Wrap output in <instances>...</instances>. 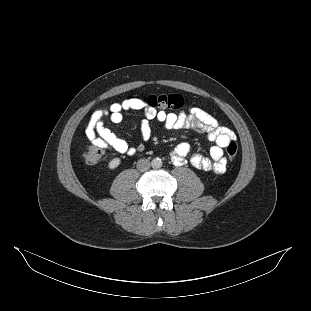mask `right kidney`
Instances as JSON below:
<instances>
[{"label": "right kidney", "mask_w": 311, "mask_h": 311, "mask_svg": "<svg viewBox=\"0 0 311 311\" xmlns=\"http://www.w3.org/2000/svg\"><path fill=\"white\" fill-rule=\"evenodd\" d=\"M119 161L118 160H113L111 163H110V167H116L118 165Z\"/></svg>", "instance_id": "ca27d5eb"}]
</instances>
